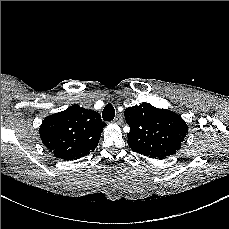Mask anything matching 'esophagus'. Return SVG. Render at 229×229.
<instances>
[{
    "mask_svg": "<svg viewBox=\"0 0 229 229\" xmlns=\"http://www.w3.org/2000/svg\"><path fill=\"white\" fill-rule=\"evenodd\" d=\"M113 123L118 124V125H120V124L123 123V117L121 116V114H118V115L114 118Z\"/></svg>",
    "mask_w": 229,
    "mask_h": 229,
    "instance_id": "obj_1",
    "label": "esophagus"
}]
</instances>
